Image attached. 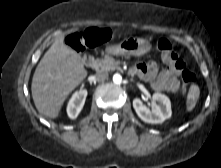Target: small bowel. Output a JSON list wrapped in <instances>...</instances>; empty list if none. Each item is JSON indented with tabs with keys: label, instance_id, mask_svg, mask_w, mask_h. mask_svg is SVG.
Listing matches in <instances>:
<instances>
[{
	"label": "small bowel",
	"instance_id": "small-bowel-1",
	"mask_svg": "<svg viewBox=\"0 0 221 168\" xmlns=\"http://www.w3.org/2000/svg\"><path fill=\"white\" fill-rule=\"evenodd\" d=\"M163 61L168 67L159 71L154 61L139 63L133 68V73L148 81L156 91L176 92L180 83L178 77L186 71L184 62L173 51L162 55Z\"/></svg>",
	"mask_w": 221,
	"mask_h": 168
}]
</instances>
